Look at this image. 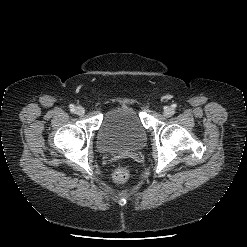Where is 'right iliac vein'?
<instances>
[{
  "instance_id": "right-iliac-vein-1",
  "label": "right iliac vein",
  "mask_w": 247,
  "mask_h": 247,
  "mask_svg": "<svg viewBox=\"0 0 247 247\" xmlns=\"http://www.w3.org/2000/svg\"><path fill=\"white\" fill-rule=\"evenodd\" d=\"M75 112H76V114H78V115H83V114L85 113V110H84L83 107L77 106V107L75 108Z\"/></svg>"
}]
</instances>
